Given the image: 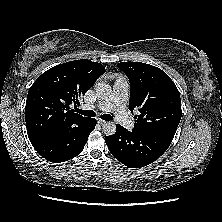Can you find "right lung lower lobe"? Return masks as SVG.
<instances>
[{
    "label": "right lung lower lobe",
    "mask_w": 222,
    "mask_h": 222,
    "mask_svg": "<svg viewBox=\"0 0 222 222\" xmlns=\"http://www.w3.org/2000/svg\"><path fill=\"white\" fill-rule=\"evenodd\" d=\"M95 125L96 120L89 118L80 126L56 131L31 144L43 158L50 162L68 161L83 151L89 134L94 130Z\"/></svg>",
    "instance_id": "obj_1"
}]
</instances>
